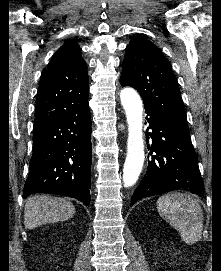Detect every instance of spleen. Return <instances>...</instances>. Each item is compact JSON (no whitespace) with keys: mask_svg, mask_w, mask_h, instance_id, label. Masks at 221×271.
I'll use <instances>...</instances> for the list:
<instances>
[{"mask_svg":"<svg viewBox=\"0 0 221 271\" xmlns=\"http://www.w3.org/2000/svg\"><path fill=\"white\" fill-rule=\"evenodd\" d=\"M157 207L161 217L179 231L182 241H186L187 245L199 241L203 229V209L191 195L165 193L157 199Z\"/></svg>","mask_w":221,"mask_h":271,"instance_id":"3e777b00","label":"spleen"}]
</instances>
